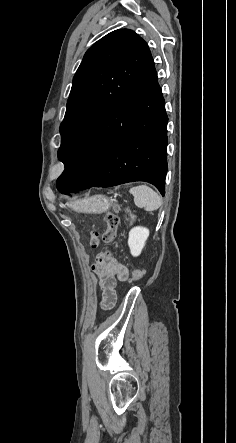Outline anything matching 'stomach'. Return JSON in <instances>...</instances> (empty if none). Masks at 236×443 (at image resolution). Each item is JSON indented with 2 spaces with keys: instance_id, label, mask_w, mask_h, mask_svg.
<instances>
[{
  "instance_id": "stomach-1",
  "label": "stomach",
  "mask_w": 236,
  "mask_h": 443,
  "mask_svg": "<svg viewBox=\"0 0 236 443\" xmlns=\"http://www.w3.org/2000/svg\"><path fill=\"white\" fill-rule=\"evenodd\" d=\"M71 207L84 211L103 213L111 206L110 200L103 195H95L87 199L79 200L70 204Z\"/></svg>"
}]
</instances>
